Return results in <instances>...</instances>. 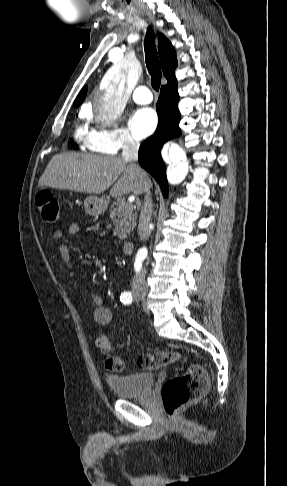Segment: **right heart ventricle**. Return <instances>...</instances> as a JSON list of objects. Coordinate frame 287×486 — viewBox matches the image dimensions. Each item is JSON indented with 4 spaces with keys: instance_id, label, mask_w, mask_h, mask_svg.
Returning a JSON list of instances; mask_svg holds the SVG:
<instances>
[{
    "instance_id": "obj_1",
    "label": "right heart ventricle",
    "mask_w": 287,
    "mask_h": 486,
    "mask_svg": "<svg viewBox=\"0 0 287 486\" xmlns=\"http://www.w3.org/2000/svg\"><path fill=\"white\" fill-rule=\"evenodd\" d=\"M90 136H91V130H89L87 127L79 126L75 131V138L78 141L83 142L84 144L87 143Z\"/></svg>"
}]
</instances>
